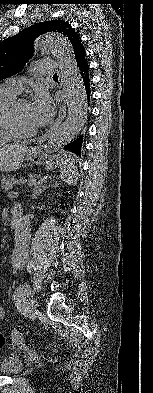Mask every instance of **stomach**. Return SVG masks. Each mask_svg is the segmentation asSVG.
<instances>
[{"label": "stomach", "instance_id": "0dacf381", "mask_svg": "<svg viewBox=\"0 0 153 393\" xmlns=\"http://www.w3.org/2000/svg\"><path fill=\"white\" fill-rule=\"evenodd\" d=\"M54 152L49 150L47 146L43 144H35L31 147L26 146V152L24 159L30 165H44L53 159Z\"/></svg>", "mask_w": 153, "mask_h": 393}]
</instances>
